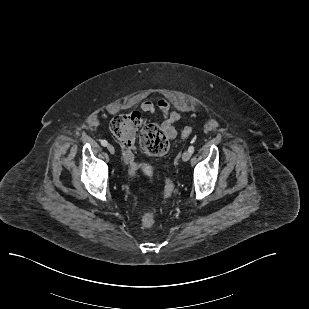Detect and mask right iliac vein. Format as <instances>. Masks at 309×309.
I'll use <instances>...</instances> for the list:
<instances>
[{"label":"right iliac vein","instance_id":"1","mask_svg":"<svg viewBox=\"0 0 309 309\" xmlns=\"http://www.w3.org/2000/svg\"><path fill=\"white\" fill-rule=\"evenodd\" d=\"M107 149H108V151L111 153V154H114L115 153V148L112 146V145H108L107 146Z\"/></svg>","mask_w":309,"mask_h":309}]
</instances>
